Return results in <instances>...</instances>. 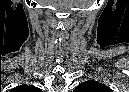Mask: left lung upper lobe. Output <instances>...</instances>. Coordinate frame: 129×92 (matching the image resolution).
I'll use <instances>...</instances> for the list:
<instances>
[{"instance_id":"obj_1","label":"left lung upper lobe","mask_w":129,"mask_h":92,"mask_svg":"<svg viewBox=\"0 0 129 92\" xmlns=\"http://www.w3.org/2000/svg\"><path fill=\"white\" fill-rule=\"evenodd\" d=\"M76 92H112L110 88L97 81H86L80 84L76 89Z\"/></svg>"}]
</instances>
